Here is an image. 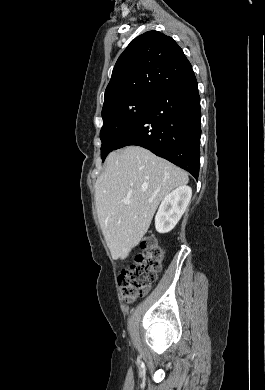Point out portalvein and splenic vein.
I'll return each mask as SVG.
<instances>
[{
    "mask_svg": "<svg viewBox=\"0 0 265 390\" xmlns=\"http://www.w3.org/2000/svg\"><path fill=\"white\" fill-rule=\"evenodd\" d=\"M123 202H124V204H129V203H130V200H129L128 198H124V199H123Z\"/></svg>",
    "mask_w": 265,
    "mask_h": 390,
    "instance_id": "portal-vein-and-splenic-vein-1",
    "label": "portal vein and splenic vein"
}]
</instances>
